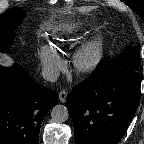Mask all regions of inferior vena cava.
<instances>
[{"instance_id":"obj_1","label":"inferior vena cava","mask_w":144,"mask_h":144,"mask_svg":"<svg viewBox=\"0 0 144 144\" xmlns=\"http://www.w3.org/2000/svg\"><path fill=\"white\" fill-rule=\"evenodd\" d=\"M59 70L57 68H44L42 76L45 80L55 82L59 77Z\"/></svg>"}]
</instances>
